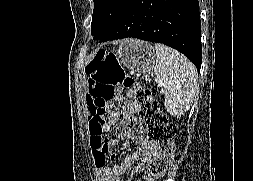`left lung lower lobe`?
I'll return each mask as SVG.
<instances>
[{
  "label": "left lung lower lobe",
  "mask_w": 253,
  "mask_h": 181,
  "mask_svg": "<svg viewBox=\"0 0 253 181\" xmlns=\"http://www.w3.org/2000/svg\"><path fill=\"white\" fill-rule=\"evenodd\" d=\"M135 37L163 43L187 56L200 71L201 24L198 0H131L100 39Z\"/></svg>",
  "instance_id": "1"
}]
</instances>
